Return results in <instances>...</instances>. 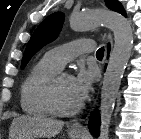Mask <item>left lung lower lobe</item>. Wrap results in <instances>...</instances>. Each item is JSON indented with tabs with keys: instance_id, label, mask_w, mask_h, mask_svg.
<instances>
[{
	"instance_id": "1",
	"label": "left lung lower lobe",
	"mask_w": 141,
	"mask_h": 139,
	"mask_svg": "<svg viewBox=\"0 0 141 139\" xmlns=\"http://www.w3.org/2000/svg\"><path fill=\"white\" fill-rule=\"evenodd\" d=\"M99 127H100V117L98 112H93L90 116L88 128L92 135H99Z\"/></svg>"
}]
</instances>
